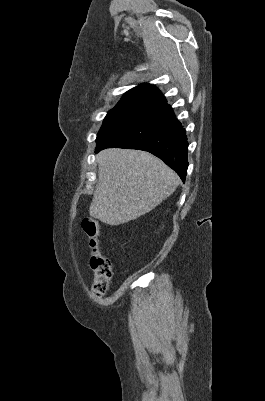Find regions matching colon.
Here are the masks:
<instances>
[{
	"label": "colon",
	"mask_w": 265,
	"mask_h": 401,
	"mask_svg": "<svg viewBox=\"0 0 265 401\" xmlns=\"http://www.w3.org/2000/svg\"><path fill=\"white\" fill-rule=\"evenodd\" d=\"M82 227L90 238V245L93 249L90 259V267L94 272L92 294L95 297H101L107 292L112 278L111 262L99 250L100 225L98 221L92 217H85Z\"/></svg>",
	"instance_id": "colon-1"
}]
</instances>
